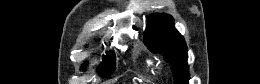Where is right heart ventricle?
<instances>
[{
    "mask_svg": "<svg viewBox=\"0 0 260 84\" xmlns=\"http://www.w3.org/2000/svg\"><path fill=\"white\" fill-rule=\"evenodd\" d=\"M148 64H149V65H151V64H152V62H151V61H148Z\"/></svg>",
    "mask_w": 260,
    "mask_h": 84,
    "instance_id": "right-heart-ventricle-1",
    "label": "right heart ventricle"
}]
</instances>
